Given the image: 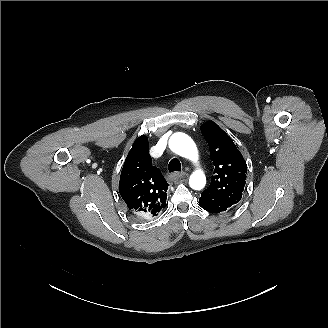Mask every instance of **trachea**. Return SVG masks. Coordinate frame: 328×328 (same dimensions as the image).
Instances as JSON below:
<instances>
[{
  "label": "trachea",
  "mask_w": 328,
  "mask_h": 328,
  "mask_svg": "<svg viewBox=\"0 0 328 328\" xmlns=\"http://www.w3.org/2000/svg\"><path fill=\"white\" fill-rule=\"evenodd\" d=\"M169 172L181 171V163L178 159L173 158L168 164Z\"/></svg>",
  "instance_id": "1"
}]
</instances>
